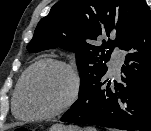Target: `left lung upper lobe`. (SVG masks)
<instances>
[{
	"label": "left lung upper lobe",
	"instance_id": "5c2ea615",
	"mask_svg": "<svg viewBox=\"0 0 151 131\" xmlns=\"http://www.w3.org/2000/svg\"><path fill=\"white\" fill-rule=\"evenodd\" d=\"M144 2L61 0L40 20L27 50L40 52L60 47L74 52L81 95L94 80L107 73L106 62L113 48L123 49Z\"/></svg>",
	"mask_w": 151,
	"mask_h": 131
}]
</instances>
